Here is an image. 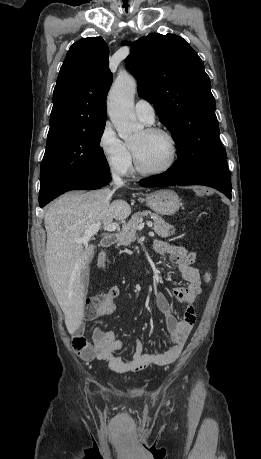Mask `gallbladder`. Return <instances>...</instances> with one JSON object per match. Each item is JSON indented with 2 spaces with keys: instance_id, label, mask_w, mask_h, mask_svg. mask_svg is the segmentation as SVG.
Here are the masks:
<instances>
[{
  "instance_id": "bac80fb5",
  "label": "gallbladder",
  "mask_w": 261,
  "mask_h": 459,
  "mask_svg": "<svg viewBox=\"0 0 261 459\" xmlns=\"http://www.w3.org/2000/svg\"><path fill=\"white\" fill-rule=\"evenodd\" d=\"M92 256H90L86 262L87 266L84 268V270L82 271V274H81V279H82V283H83V286H84V289L86 291V288H87V285H88V282H89V268H88V263L90 261Z\"/></svg>"
}]
</instances>
